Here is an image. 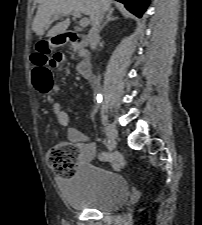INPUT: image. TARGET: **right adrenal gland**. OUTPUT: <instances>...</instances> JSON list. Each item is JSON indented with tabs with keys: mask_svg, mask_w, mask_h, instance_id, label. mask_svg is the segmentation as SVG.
<instances>
[{
	"mask_svg": "<svg viewBox=\"0 0 202 225\" xmlns=\"http://www.w3.org/2000/svg\"><path fill=\"white\" fill-rule=\"evenodd\" d=\"M112 14H113V9L110 10V11L108 12V14H107V16H106V21L100 26L99 32L102 31V29H103L109 22L118 19V17H113Z\"/></svg>",
	"mask_w": 202,
	"mask_h": 225,
	"instance_id": "right-adrenal-gland-1",
	"label": "right adrenal gland"
}]
</instances>
